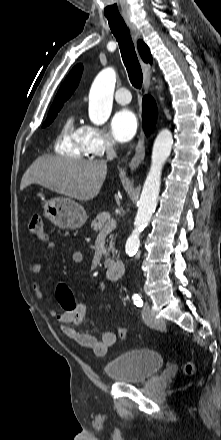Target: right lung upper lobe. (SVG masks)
Instances as JSON below:
<instances>
[{
    "label": "right lung upper lobe",
    "mask_w": 221,
    "mask_h": 440,
    "mask_svg": "<svg viewBox=\"0 0 221 440\" xmlns=\"http://www.w3.org/2000/svg\"><path fill=\"white\" fill-rule=\"evenodd\" d=\"M138 50L142 59L145 62H152V56L150 54L149 48L142 40L138 41ZM82 71L83 66L81 64H78L69 72L68 76L60 87L50 110L58 106H63L64 102L72 95V93L78 86Z\"/></svg>",
    "instance_id": "cb5924a9"
}]
</instances>
